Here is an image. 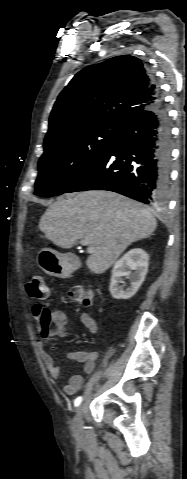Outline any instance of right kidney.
I'll use <instances>...</instances> for the list:
<instances>
[{
    "label": "right kidney",
    "instance_id": "right-kidney-1",
    "mask_svg": "<svg viewBox=\"0 0 187 479\" xmlns=\"http://www.w3.org/2000/svg\"><path fill=\"white\" fill-rule=\"evenodd\" d=\"M149 255L141 248H135L124 254L113 266L110 293L114 299H129L136 294L148 271ZM122 277L130 280L126 290L119 286Z\"/></svg>",
    "mask_w": 187,
    "mask_h": 479
}]
</instances>
